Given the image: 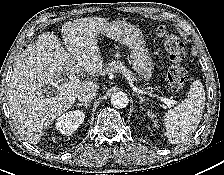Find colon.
<instances>
[{
  "instance_id": "obj_1",
  "label": "colon",
  "mask_w": 224,
  "mask_h": 175,
  "mask_svg": "<svg viewBox=\"0 0 224 175\" xmlns=\"http://www.w3.org/2000/svg\"><path fill=\"white\" fill-rule=\"evenodd\" d=\"M157 34L163 38L164 47L171 62L167 72L168 89L172 93L179 92L183 89L187 78L186 70L182 66L185 58L184 44L177 36L170 33L166 27H159Z\"/></svg>"
}]
</instances>
